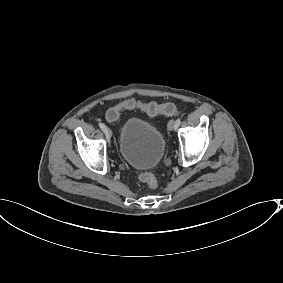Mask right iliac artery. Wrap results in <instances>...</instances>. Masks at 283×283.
Segmentation results:
<instances>
[{
	"mask_svg": "<svg viewBox=\"0 0 283 283\" xmlns=\"http://www.w3.org/2000/svg\"><path fill=\"white\" fill-rule=\"evenodd\" d=\"M99 127L102 129V131L106 134L107 127L103 123H99ZM107 139L109 140V137L106 134Z\"/></svg>",
	"mask_w": 283,
	"mask_h": 283,
	"instance_id": "1",
	"label": "right iliac artery"
}]
</instances>
